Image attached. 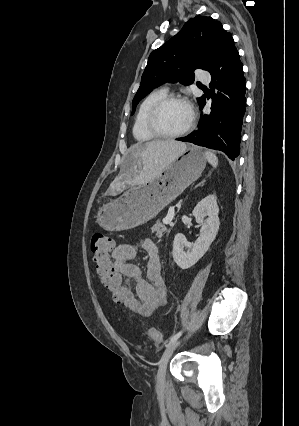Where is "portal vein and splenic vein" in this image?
Instances as JSON below:
<instances>
[{"mask_svg":"<svg viewBox=\"0 0 299 426\" xmlns=\"http://www.w3.org/2000/svg\"><path fill=\"white\" fill-rule=\"evenodd\" d=\"M174 215V208H170L167 216L163 219L164 224H170Z\"/></svg>","mask_w":299,"mask_h":426,"instance_id":"1","label":"portal vein and splenic vein"}]
</instances>
